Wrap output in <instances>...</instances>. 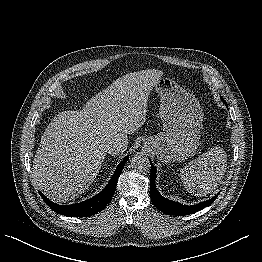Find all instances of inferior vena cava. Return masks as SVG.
Here are the masks:
<instances>
[{"instance_id":"inferior-vena-cava-1","label":"inferior vena cava","mask_w":262,"mask_h":262,"mask_svg":"<svg viewBox=\"0 0 262 262\" xmlns=\"http://www.w3.org/2000/svg\"><path fill=\"white\" fill-rule=\"evenodd\" d=\"M127 147V141H114L108 146V153L111 155H118L126 151Z\"/></svg>"}]
</instances>
